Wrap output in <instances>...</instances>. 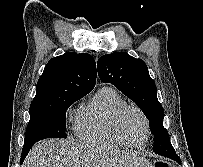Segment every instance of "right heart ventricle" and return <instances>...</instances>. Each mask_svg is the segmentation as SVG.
Here are the masks:
<instances>
[{"label":"right heart ventricle","instance_id":"obj_1","mask_svg":"<svg viewBox=\"0 0 203 167\" xmlns=\"http://www.w3.org/2000/svg\"><path fill=\"white\" fill-rule=\"evenodd\" d=\"M125 103L112 86L100 88L79 112L74 128L76 136L85 142L126 147L111 128L114 113Z\"/></svg>","mask_w":203,"mask_h":167}]
</instances>
